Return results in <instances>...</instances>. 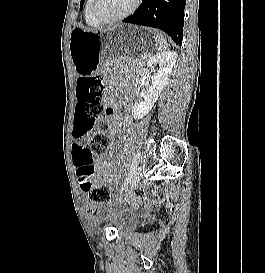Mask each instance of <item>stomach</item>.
Instances as JSON below:
<instances>
[{
    "instance_id": "obj_1",
    "label": "stomach",
    "mask_w": 265,
    "mask_h": 273,
    "mask_svg": "<svg viewBox=\"0 0 265 273\" xmlns=\"http://www.w3.org/2000/svg\"><path fill=\"white\" fill-rule=\"evenodd\" d=\"M160 45H164L161 35L147 30V25H110L108 30L74 28L69 50L76 73L87 76L114 69V64H136L142 56H155L150 50Z\"/></svg>"
}]
</instances>
